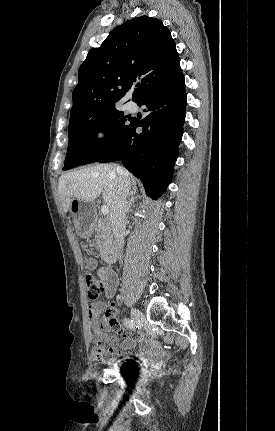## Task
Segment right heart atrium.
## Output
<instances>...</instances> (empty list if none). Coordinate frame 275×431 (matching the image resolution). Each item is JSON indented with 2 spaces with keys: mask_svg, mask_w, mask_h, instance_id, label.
<instances>
[{
  "mask_svg": "<svg viewBox=\"0 0 275 431\" xmlns=\"http://www.w3.org/2000/svg\"><path fill=\"white\" fill-rule=\"evenodd\" d=\"M107 133H108L107 128L106 127H101V128H99L97 130V132L95 134V139L98 140V141L102 140L103 138L106 137Z\"/></svg>",
  "mask_w": 275,
  "mask_h": 431,
  "instance_id": "d8ad5b80",
  "label": "right heart atrium"
}]
</instances>
